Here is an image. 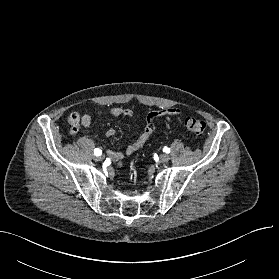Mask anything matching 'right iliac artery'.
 Wrapping results in <instances>:
<instances>
[{
    "label": "right iliac artery",
    "mask_w": 279,
    "mask_h": 279,
    "mask_svg": "<svg viewBox=\"0 0 279 279\" xmlns=\"http://www.w3.org/2000/svg\"><path fill=\"white\" fill-rule=\"evenodd\" d=\"M94 154H95L96 156H100V155L102 154V151H101L100 149H95V150H94Z\"/></svg>",
    "instance_id": "82829eb1"
}]
</instances>
